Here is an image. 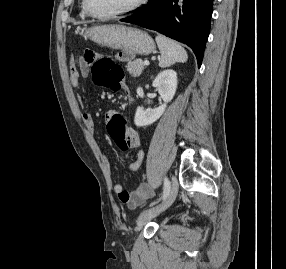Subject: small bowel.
I'll list each match as a JSON object with an SVG mask.
<instances>
[{"mask_svg":"<svg viewBox=\"0 0 286 269\" xmlns=\"http://www.w3.org/2000/svg\"><path fill=\"white\" fill-rule=\"evenodd\" d=\"M92 61H88L86 58H80L78 61H75L73 58L70 59L69 63V82L71 86L77 87L80 84L81 76L87 73L88 68L91 66ZM128 95V93H127ZM118 112L109 111L106 114V120L108 122V130H109V121H112L115 116H117ZM82 120L85 127L88 130L94 131L95 123L92 115L88 112H84L82 114ZM126 121V119L124 120ZM127 138L130 143V148H139L140 147V139L138 134L129 128V126H124ZM110 134V133H109ZM144 158V151L139 149L137 152V158L135 161L131 162L128 165L129 171H137L139 170L142 161ZM110 161L107 159V164ZM114 193L119 197V199L126 204L129 209H136L146 201H148L153 196V191L149 187L148 184L143 183L139 185L132 192L125 191L123 186L119 183L113 186Z\"/></svg>","mask_w":286,"mask_h":269,"instance_id":"c3829d8e","label":"small bowel"}]
</instances>
